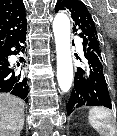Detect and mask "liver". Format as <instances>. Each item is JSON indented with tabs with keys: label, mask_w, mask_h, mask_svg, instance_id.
Masks as SVG:
<instances>
[{
	"label": "liver",
	"mask_w": 117,
	"mask_h": 136,
	"mask_svg": "<svg viewBox=\"0 0 117 136\" xmlns=\"http://www.w3.org/2000/svg\"><path fill=\"white\" fill-rule=\"evenodd\" d=\"M24 101L0 93V136H20L24 125Z\"/></svg>",
	"instance_id": "obj_1"
}]
</instances>
